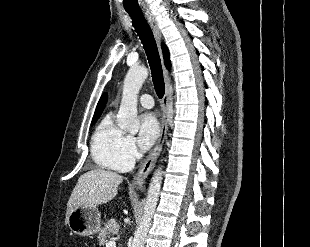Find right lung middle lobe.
I'll list each match as a JSON object with an SVG mask.
<instances>
[{
    "instance_id": "right-lung-middle-lobe-1",
    "label": "right lung middle lobe",
    "mask_w": 310,
    "mask_h": 247,
    "mask_svg": "<svg viewBox=\"0 0 310 247\" xmlns=\"http://www.w3.org/2000/svg\"><path fill=\"white\" fill-rule=\"evenodd\" d=\"M99 117H100V116L94 117V118L92 119L91 125H93V124L97 121V119H98Z\"/></svg>"
}]
</instances>
